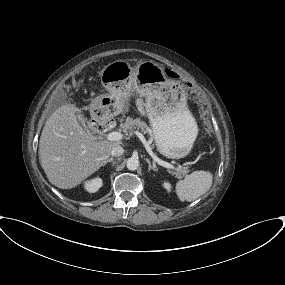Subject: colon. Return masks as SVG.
I'll return each mask as SVG.
<instances>
[{"label":"colon","mask_w":285,"mask_h":285,"mask_svg":"<svg viewBox=\"0 0 285 285\" xmlns=\"http://www.w3.org/2000/svg\"><path fill=\"white\" fill-rule=\"evenodd\" d=\"M166 74L172 78L177 77L176 74L174 72H172L171 70H166ZM189 91H190V94L192 95V97H194L196 100H198L200 102L201 110L203 113H205L206 108L204 105V98H203L202 92L194 86H191L189 88Z\"/></svg>","instance_id":"5ec220e1"}]
</instances>
